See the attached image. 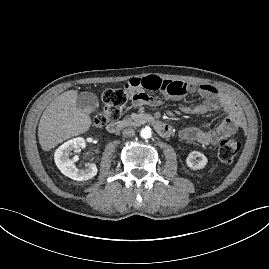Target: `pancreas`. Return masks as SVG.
Segmentation results:
<instances>
[{
    "label": "pancreas",
    "instance_id": "cf45deb5",
    "mask_svg": "<svg viewBox=\"0 0 269 269\" xmlns=\"http://www.w3.org/2000/svg\"><path fill=\"white\" fill-rule=\"evenodd\" d=\"M146 115L145 114H132L131 116H126L123 119V122L127 125H140L142 123H144V119H145Z\"/></svg>",
    "mask_w": 269,
    "mask_h": 269
}]
</instances>
